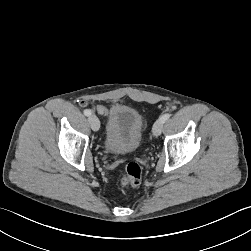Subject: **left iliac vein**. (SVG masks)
I'll return each instance as SVG.
<instances>
[{"instance_id": "obj_1", "label": "left iliac vein", "mask_w": 251, "mask_h": 251, "mask_svg": "<svg viewBox=\"0 0 251 251\" xmlns=\"http://www.w3.org/2000/svg\"><path fill=\"white\" fill-rule=\"evenodd\" d=\"M162 129H163V122L161 119H158L153 125L152 129L153 135L156 137L159 136L162 132Z\"/></svg>"}]
</instances>
